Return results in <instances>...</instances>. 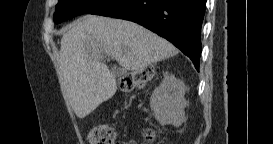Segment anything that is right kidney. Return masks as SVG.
<instances>
[{"mask_svg":"<svg viewBox=\"0 0 273 144\" xmlns=\"http://www.w3.org/2000/svg\"><path fill=\"white\" fill-rule=\"evenodd\" d=\"M185 85L175 78H165L150 99V107L161 125L179 127L185 121Z\"/></svg>","mask_w":273,"mask_h":144,"instance_id":"obj_1","label":"right kidney"}]
</instances>
